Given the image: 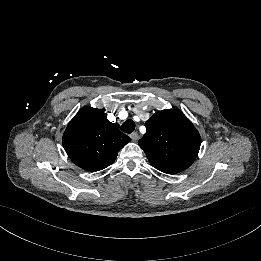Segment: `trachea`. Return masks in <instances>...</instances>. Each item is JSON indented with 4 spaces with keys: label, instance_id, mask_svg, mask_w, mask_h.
I'll return each instance as SVG.
<instances>
[{
    "label": "trachea",
    "instance_id": "3493384b",
    "mask_svg": "<svg viewBox=\"0 0 261 261\" xmlns=\"http://www.w3.org/2000/svg\"><path fill=\"white\" fill-rule=\"evenodd\" d=\"M135 129V123L133 120L128 119L121 125V130L125 133H132Z\"/></svg>",
    "mask_w": 261,
    "mask_h": 261
}]
</instances>
